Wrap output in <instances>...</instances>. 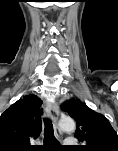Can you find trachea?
<instances>
[{"label":"trachea","mask_w":118,"mask_h":151,"mask_svg":"<svg viewBox=\"0 0 118 151\" xmlns=\"http://www.w3.org/2000/svg\"><path fill=\"white\" fill-rule=\"evenodd\" d=\"M44 143L57 144V139L54 136V129L51 120L44 119Z\"/></svg>","instance_id":"trachea-1"}]
</instances>
